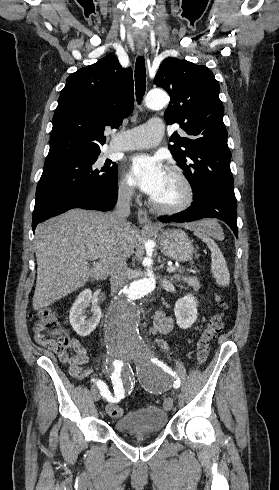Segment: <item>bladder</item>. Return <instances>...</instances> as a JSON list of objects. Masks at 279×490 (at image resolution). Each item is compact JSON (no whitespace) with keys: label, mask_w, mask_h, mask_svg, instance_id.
<instances>
[{"label":"bladder","mask_w":279,"mask_h":490,"mask_svg":"<svg viewBox=\"0 0 279 490\" xmlns=\"http://www.w3.org/2000/svg\"><path fill=\"white\" fill-rule=\"evenodd\" d=\"M168 423V414L157 405H147L126 413L123 417L115 420L113 427L118 434L128 435L132 433L163 431Z\"/></svg>","instance_id":"bladder-1"}]
</instances>
